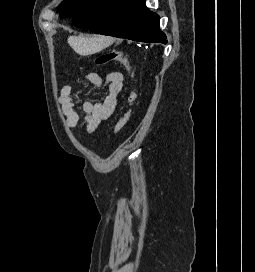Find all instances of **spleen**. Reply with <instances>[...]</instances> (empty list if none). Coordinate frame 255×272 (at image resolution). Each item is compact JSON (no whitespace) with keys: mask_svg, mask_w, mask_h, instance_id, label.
Returning a JSON list of instances; mask_svg holds the SVG:
<instances>
[{"mask_svg":"<svg viewBox=\"0 0 255 272\" xmlns=\"http://www.w3.org/2000/svg\"><path fill=\"white\" fill-rule=\"evenodd\" d=\"M69 45L79 55L95 54L112 43V39L104 37H77L70 36L68 38Z\"/></svg>","mask_w":255,"mask_h":272,"instance_id":"spleen-1","label":"spleen"}]
</instances>
